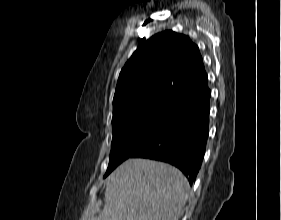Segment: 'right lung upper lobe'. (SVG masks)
Returning <instances> with one entry per match:
<instances>
[{"label": "right lung upper lobe", "mask_w": 281, "mask_h": 220, "mask_svg": "<svg viewBox=\"0 0 281 220\" xmlns=\"http://www.w3.org/2000/svg\"><path fill=\"white\" fill-rule=\"evenodd\" d=\"M207 90L198 46L186 35L161 32L143 41L121 70L112 121L152 113L170 116Z\"/></svg>", "instance_id": "cb5924a9"}]
</instances>
